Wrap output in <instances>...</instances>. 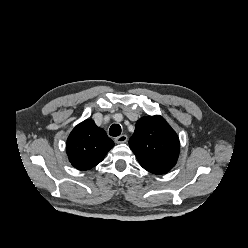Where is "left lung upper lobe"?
<instances>
[{"label": "left lung upper lobe", "mask_w": 248, "mask_h": 248, "mask_svg": "<svg viewBox=\"0 0 248 248\" xmlns=\"http://www.w3.org/2000/svg\"><path fill=\"white\" fill-rule=\"evenodd\" d=\"M129 146L139 164L153 174L171 170L180 151L177 134L159 115L142 117L137 121Z\"/></svg>", "instance_id": "obj_1"}]
</instances>
